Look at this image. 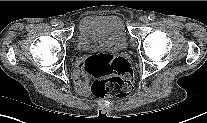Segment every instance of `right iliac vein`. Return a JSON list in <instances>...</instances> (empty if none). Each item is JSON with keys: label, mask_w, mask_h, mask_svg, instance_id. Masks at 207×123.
<instances>
[{"label": "right iliac vein", "mask_w": 207, "mask_h": 123, "mask_svg": "<svg viewBox=\"0 0 207 123\" xmlns=\"http://www.w3.org/2000/svg\"><path fill=\"white\" fill-rule=\"evenodd\" d=\"M63 27H64V23L60 21V22L58 23V28H63Z\"/></svg>", "instance_id": "right-iliac-vein-1"}]
</instances>
